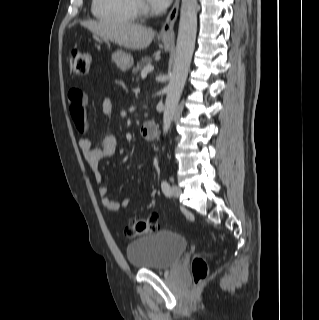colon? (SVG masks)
I'll list each match as a JSON object with an SVG mask.
<instances>
[{
  "mask_svg": "<svg viewBox=\"0 0 319 320\" xmlns=\"http://www.w3.org/2000/svg\"><path fill=\"white\" fill-rule=\"evenodd\" d=\"M70 71L77 76L87 75L92 65V55L90 52L78 48L71 49L68 57ZM79 133H84V128H77ZM159 216L157 213L151 214L147 218H135L126 228L129 238H137L142 234L151 233L158 229ZM192 274L196 282L203 280L208 274V264L201 257H196L192 262Z\"/></svg>",
  "mask_w": 319,
  "mask_h": 320,
  "instance_id": "1",
  "label": "colon"
}]
</instances>
